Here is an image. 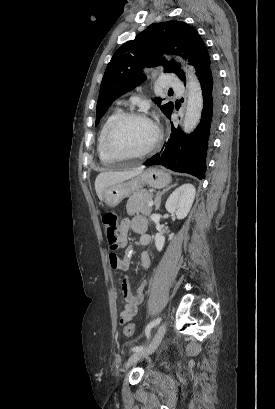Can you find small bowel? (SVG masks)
<instances>
[{
	"label": "small bowel",
	"instance_id": "small-bowel-1",
	"mask_svg": "<svg viewBox=\"0 0 275 409\" xmlns=\"http://www.w3.org/2000/svg\"><path fill=\"white\" fill-rule=\"evenodd\" d=\"M136 220H145V219L141 217H135L131 221L126 220L121 224V227H120L121 238H122V243L124 245L127 244L128 229L131 227L132 229L136 230L134 228V222ZM139 242L142 246H147L151 242V237L148 234H142ZM132 255H133V249L129 246L126 247L125 254L122 258H118V257L115 258L111 255L110 265L112 269L117 270V271H126L129 268ZM140 264L143 270H147L150 267V264H151L150 256L145 251L140 256ZM121 290H122L124 299L126 300V304L121 310L120 316H121V322L125 323L126 321L133 319L137 315L138 307L143 302V299H144V292L146 290V282L145 281L140 282L137 287L136 293L131 294L127 280L124 279L121 282Z\"/></svg>",
	"mask_w": 275,
	"mask_h": 409
}]
</instances>
